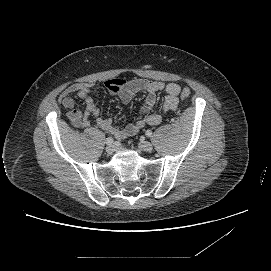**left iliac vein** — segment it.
Wrapping results in <instances>:
<instances>
[{
	"mask_svg": "<svg viewBox=\"0 0 271 271\" xmlns=\"http://www.w3.org/2000/svg\"><path fill=\"white\" fill-rule=\"evenodd\" d=\"M139 148L141 149V150H143V151H152V149H153V146H152V144L150 143V142H148V141H141L140 143H139Z\"/></svg>",
	"mask_w": 271,
	"mask_h": 271,
	"instance_id": "4c4485c4",
	"label": "left iliac vein"
}]
</instances>
